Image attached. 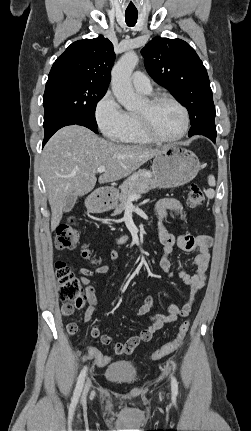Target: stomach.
<instances>
[{
	"instance_id": "0dacf381",
	"label": "stomach",
	"mask_w": 251,
	"mask_h": 431,
	"mask_svg": "<svg viewBox=\"0 0 251 431\" xmlns=\"http://www.w3.org/2000/svg\"><path fill=\"white\" fill-rule=\"evenodd\" d=\"M196 155L182 147L170 145L155 156L152 163V179L158 188H174L193 180L200 171ZM117 191L100 190L86 199V207L94 213L108 211L116 206Z\"/></svg>"
}]
</instances>
